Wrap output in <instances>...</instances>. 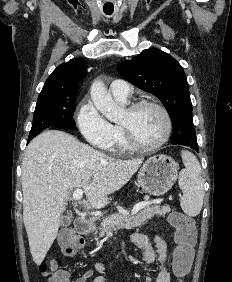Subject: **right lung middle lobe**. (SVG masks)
<instances>
[{
	"label": "right lung middle lobe",
	"mask_w": 232,
	"mask_h": 282,
	"mask_svg": "<svg viewBox=\"0 0 232 282\" xmlns=\"http://www.w3.org/2000/svg\"><path fill=\"white\" fill-rule=\"evenodd\" d=\"M76 94L39 95L28 141L47 128L76 130L73 114Z\"/></svg>",
	"instance_id": "dd1d6c3e"
}]
</instances>
